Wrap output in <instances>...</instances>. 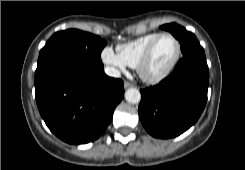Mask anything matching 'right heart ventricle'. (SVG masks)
I'll list each match as a JSON object with an SVG mask.
<instances>
[{
    "instance_id": "right-heart-ventricle-1",
    "label": "right heart ventricle",
    "mask_w": 245,
    "mask_h": 170,
    "mask_svg": "<svg viewBox=\"0 0 245 170\" xmlns=\"http://www.w3.org/2000/svg\"><path fill=\"white\" fill-rule=\"evenodd\" d=\"M158 35L150 33L117 46V53L129 67H136L138 60L148 44Z\"/></svg>"
}]
</instances>
